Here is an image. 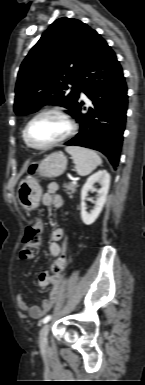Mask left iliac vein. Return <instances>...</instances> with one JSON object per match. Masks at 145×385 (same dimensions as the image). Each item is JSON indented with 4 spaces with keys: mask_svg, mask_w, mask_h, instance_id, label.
<instances>
[{
    "mask_svg": "<svg viewBox=\"0 0 145 385\" xmlns=\"http://www.w3.org/2000/svg\"><path fill=\"white\" fill-rule=\"evenodd\" d=\"M49 324L43 325L40 330L39 344L41 347H46L48 343Z\"/></svg>",
    "mask_w": 145,
    "mask_h": 385,
    "instance_id": "obj_1",
    "label": "left iliac vein"
}]
</instances>
